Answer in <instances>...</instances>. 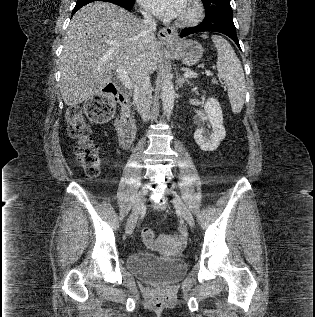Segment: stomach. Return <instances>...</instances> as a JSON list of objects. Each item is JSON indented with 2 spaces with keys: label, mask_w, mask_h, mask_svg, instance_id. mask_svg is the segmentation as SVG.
I'll use <instances>...</instances> for the list:
<instances>
[{
  "label": "stomach",
  "mask_w": 315,
  "mask_h": 317,
  "mask_svg": "<svg viewBox=\"0 0 315 317\" xmlns=\"http://www.w3.org/2000/svg\"><path fill=\"white\" fill-rule=\"evenodd\" d=\"M164 44L174 58L181 60L187 66L196 64L204 51L200 43L191 39L176 38Z\"/></svg>",
  "instance_id": "0dacf381"
}]
</instances>
